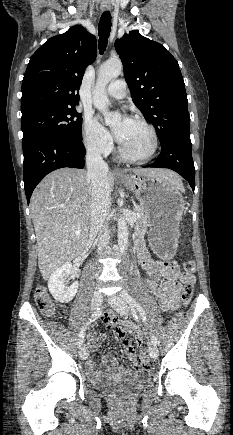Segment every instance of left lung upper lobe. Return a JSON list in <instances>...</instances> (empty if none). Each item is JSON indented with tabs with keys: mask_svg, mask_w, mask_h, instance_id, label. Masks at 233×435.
Wrapping results in <instances>:
<instances>
[{
	"mask_svg": "<svg viewBox=\"0 0 233 435\" xmlns=\"http://www.w3.org/2000/svg\"><path fill=\"white\" fill-rule=\"evenodd\" d=\"M134 104L157 131L161 144L190 133L185 84L177 60L166 48L138 31L115 42Z\"/></svg>",
	"mask_w": 233,
	"mask_h": 435,
	"instance_id": "1",
	"label": "left lung upper lobe"
}]
</instances>
